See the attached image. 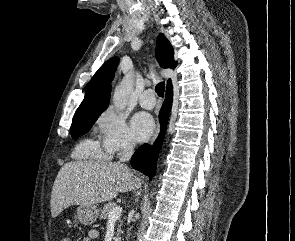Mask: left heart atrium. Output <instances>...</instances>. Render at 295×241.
I'll use <instances>...</instances> for the list:
<instances>
[{
	"mask_svg": "<svg viewBox=\"0 0 295 241\" xmlns=\"http://www.w3.org/2000/svg\"><path fill=\"white\" fill-rule=\"evenodd\" d=\"M153 118L145 112L136 113L131 119V131L137 141H145L154 130Z\"/></svg>",
	"mask_w": 295,
	"mask_h": 241,
	"instance_id": "obj_1",
	"label": "left heart atrium"
}]
</instances>
